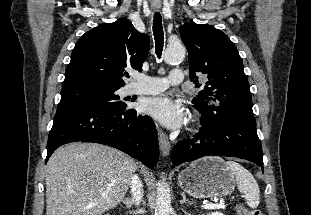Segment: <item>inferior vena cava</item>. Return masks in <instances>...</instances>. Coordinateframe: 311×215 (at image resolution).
Listing matches in <instances>:
<instances>
[{
	"mask_svg": "<svg viewBox=\"0 0 311 215\" xmlns=\"http://www.w3.org/2000/svg\"><path fill=\"white\" fill-rule=\"evenodd\" d=\"M131 193L133 195L134 202L139 204L142 198V183L137 175H133L131 179Z\"/></svg>",
	"mask_w": 311,
	"mask_h": 215,
	"instance_id": "1",
	"label": "inferior vena cava"
}]
</instances>
